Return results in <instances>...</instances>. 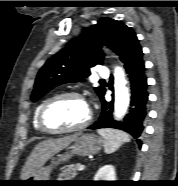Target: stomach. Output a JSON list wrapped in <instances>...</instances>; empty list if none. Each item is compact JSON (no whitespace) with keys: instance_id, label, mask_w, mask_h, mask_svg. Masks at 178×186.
Returning a JSON list of instances; mask_svg holds the SVG:
<instances>
[{"instance_id":"0dacf381","label":"stomach","mask_w":178,"mask_h":186,"mask_svg":"<svg viewBox=\"0 0 178 186\" xmlns=\"http://www.w3.org/2000/svg\"><path fill=\"white\" fill-rule=\"evenodd\" d=\"M103 140L95 134L86 133L78 136L73 144L68 147L67 152L58 156V158H52L51 164L48 166H42L35 171L27 180L26 185L30 186H44L50 181V173L54 166L58 165L62 161H67L74 155L87 156L93 155L99 152L102 148Z\"/></svg>"}]
</instances>
